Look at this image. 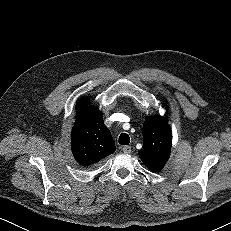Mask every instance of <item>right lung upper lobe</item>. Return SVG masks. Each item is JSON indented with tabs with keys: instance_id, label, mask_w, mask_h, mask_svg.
Returning <instances> with one entry per match:
<instances>
[{
	"instance_id": "1",
	"label": "right lung upper lobe",
	"mask_w": 231,
	"mask_h": 231,
	"mask_svg": "<svg viewBox=\"0 0 231 231\" xmlns=\"http://www.w3.org/2000/svg\"><path fill=\"white\" fill-rule=\"evenodd\" d=\"M76 121L71 132V149L75 160L91 167L115 152V142L104 125L102 112L80 99L76 105Z\"/></svg>"
}]
</instances>
